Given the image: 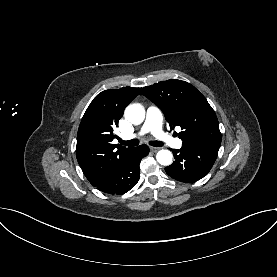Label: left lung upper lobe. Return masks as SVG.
Returning <instances> with one entry per match:
<instances>
[{
  "label": "left lung upper lobe",
  "mask_w": 277,
  "mask_h": 277,
  "mask_svg": "<svg viewBox=\"0 0 277 277\" xmlns=\"http://www.w3.org/2000/svg\"><path fill=\"white\" fill-rule=\"evenodd\" d=\"M141 94L163 111L170 128L181 127L183 145L221 142L216 114L193 85L170 79L144 87Z\"/></svg>",
  "instance_id": "obj_1"
}]
</instances>
